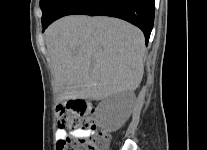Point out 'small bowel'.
Returning <instances> with one entry per match:
<instances>
[{"mask_svg": "<svg viewBox=\"0 0 207 150\" xmlns=\"http://www.w3.org/2000/svg\"><path fill=\"white\" fill-rule=\"evenodd\" d=\"M91 134L90 130H77L72 132L73 137H84L89 136ZM56 139L61 140L68 137L67 132L64 129H58L55 133Z\"/></svg>", "mask_w": 207, "mask_h": 150, "instance_id": "1", "label": "small bowel"}]
</instances>
